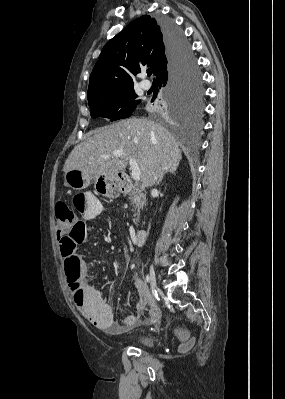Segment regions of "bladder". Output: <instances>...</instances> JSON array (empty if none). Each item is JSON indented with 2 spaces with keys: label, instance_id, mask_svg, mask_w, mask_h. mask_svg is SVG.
I'll list each match as a JSON object with an SVG mask.
<instances>
[{
  "label": "bladder",
  "instance_id": "obj_1",
  "mask_svg": "<svg viewBox=\"0 0 285 399\" xmlns=\"http://www.w3.org/2000/svg\"><path fill=\"white\" fill-rule=\"evenodd\" d=\"M132 343L143 347L150 348L153 345V339L148 333H139L134 335L131 340Z\"/></svg>",
  "mask_w": 285,
  "mask_h": 399
}]
</instances>
